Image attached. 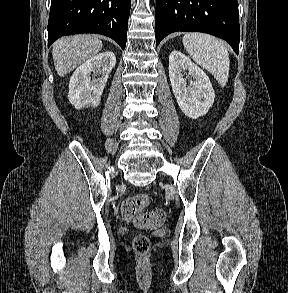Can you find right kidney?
Here are the masks:
<instances>
[{
  "mask_svg": "<svg viewBox=\"0 0 288 293\" xmlns=\"http://www.w3.org/2000/svg\"><path fill=\"white\" fill-rule=\"evenodd\" d=\"M116 64V56L106 51L91 57L78 67L69 82L68 98L77 109L99 105L109 73ZM94 77L91 78V73ZM98 76V78H96Z\"/></svg>",
  "mask_w": 288,
  "mask_h": 293,
  "instance_id": "right-kidney-1",
  "label": "right kidney"
}]
</instances>
